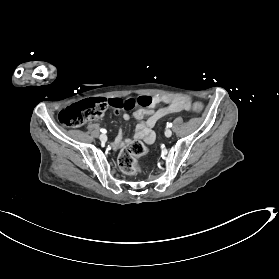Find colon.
<instances>
[{
    "label": "colon",
    "instance_id": "colon-1",
    "mask_svg": "<svg viewBox=\"0 0 279 279\" xmlns=\"http://www.w3.org/2000/svg\"><path fill=\"white\" fill-rule=\"evenodd\" d=\"M155 104L154 97L139 96L137 98H95L88 99L65 108L59 113V121L64 125L70 127H79L85 122L102 116L105 111L112 107L114 109L131 110L136 106L151 107ZM195 113H201L203 105L195 102L191 107ZM146 147L140 141L131 142L119 155V166L126 174H135L139 171L136 160L138 157L144 155Z\"/></svg>",
    "mask_w": 279,
    "mask_h": 279
}]
</instances>
